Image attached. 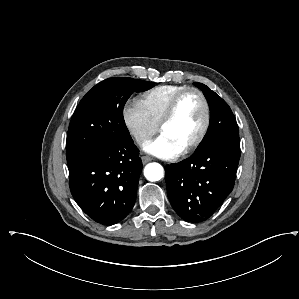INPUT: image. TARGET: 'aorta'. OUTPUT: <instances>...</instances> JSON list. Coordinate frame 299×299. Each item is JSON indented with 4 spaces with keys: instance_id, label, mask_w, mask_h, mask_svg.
<instances>
[{
    "instance_id": "obj_1",
    "label": "aorta",
    "mask_w": 299,
    "mask_h": 299,
    "mask_svg": "<svg viewBox=\"0 0 299 299\" xmlns=\"http://www.w3.org/2000/svg\"><path fill=\"white\" fill-rule=\"evenodd\" d=\"M144 176L148 181H159L164 177V169L159 163H149L144 168Z\"/></svg>"
}]
</instances>
